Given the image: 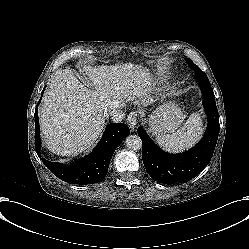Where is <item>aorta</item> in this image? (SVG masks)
<instances>
[{
	"label": "aorta",
	"instance_id": "1",
	"mask_svg": "<svg viewBox=\"0 0 249 249\" xmlns=\"http://www.w3.org/2000/svg\"><path fill=\"white\" fill-rule=\"evenodd\" d=\"M127 148L138 151L142 148V141L138 135H128L125 140Z\"/></svg>",
	"mask_w": 249,
	"mask_h": 249
}]
</instances>
